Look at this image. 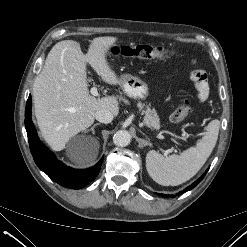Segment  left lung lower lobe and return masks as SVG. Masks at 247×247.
Listing matches in <instances>:
<instances>
[{
  "label": "left lung lower lobe",
  "instance_id": "1",
  "mask_svg": "<svg viewBox=\"0 0 247 247\" xmlns=\"http://www.w3.org/2000/svg\"><path fill=\"white\" fill-rule=\"evenodd\" d=\"M205 175H206V172L197 180V181H195L193 184H191L190 186H188L185 190H184V192L185 191H188V190H191L192 188H194V187H196L197 186V184L199 183V182H201L202 181V179L205 177ZM181 193H183L182 191L179 193V194H181ZM158 195H160V196H162V197H169V195H165V194H158ZM178 194H176V196H177ZM171 197H174V195H171Z\"/></svg>",
  "mask_w": 247,
  "mask_h": 247
}]
</instances>
